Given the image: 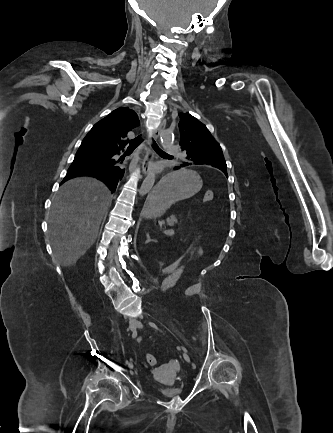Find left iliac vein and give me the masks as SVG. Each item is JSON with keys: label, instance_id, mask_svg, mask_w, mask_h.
<instances>
[{"label": "left iliac vein", "instance_id": "1", "mask_svg": "<svg viewBox=\"0 0 333 433\" xmlns=\"http://www.w3.org/2000/svg\"><path fill=\"white\" fill-rule=\"evenodd\" d=\"M136 327H138V328H142V323L141 322H136ZM183 358L187 361V362H190V357H189V355L187 354V353H183Z\"/></svg>", "mask_w": 333, "mask_h": 433}]
</instances>
